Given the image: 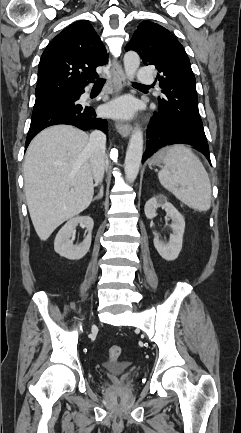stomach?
Returning <instances> with one entry per match:
<instances>
[{
  "label": "stomach",
  "mask_w": 241,
  "mask_h": 433,
  "mask_svg": "<svg viewBox=\"0 0 241 433\" xmlns=\"http://www.w3.org/2000/svg\"><path fill=\"white\" fill-rule=\"evenodd\" d=\"M168 148H165L161 151H159L154 157L153 159L150 161L149 165H157V166H161L162 163H164V157H165V153L166 150Z\"/></svg>",
  "instance_id": "1"
}]
</instances>
